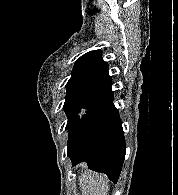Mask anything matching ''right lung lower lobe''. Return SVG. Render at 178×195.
Here are the masks:
<instances>
[{
	"label": "right lung lower lobe",
	"mask_w": 178,
	"mask_h": 195,
	"mask_svg": "<svg viewBox=\"0 0 178 195\" xmlns=\"http://www.w3.org/2000/svg\"><path fill=\"white\" fill-rule=\"evenodd\" d=\"M67 153L72 165L86 162L89 169L107 174L115 183L118 181L126 143L111 90L96 98L69 135Z\"/></svg>",
	"instance_id": "98d812e1"
}]
</instances>
